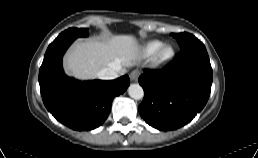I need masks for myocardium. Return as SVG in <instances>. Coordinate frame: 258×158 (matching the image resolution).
<instances>
[{
    "label": "myocardium",
    "mask_w": 258,
    "mask_h": 158,
    "mask_svg": "<svg viewBox=\"0 0 258 158\" xmlns=\"http://www.w3.org/2000/svg\"><path fill=\"white\" fill-rule=\"evenodd\" d=\"M175 51L170 45H164L159 48L156 52L153 63L156 66L162 65L163 63L171 60L174 57Z\"/></svg>",
    "instance_id": "obj_1"
}]
</instances>
